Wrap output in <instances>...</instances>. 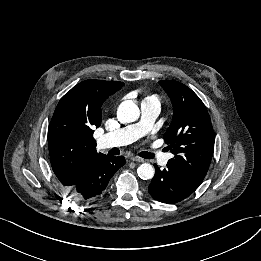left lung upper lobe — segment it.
I'll use <instances>...</instances> for the list:
<instances>
[{"label":"left lung upper lobe","instance_id":"obj_1","mask_svg":"<svg viewBox=\"0 0 261 261\" xmlns=\"http://www.w3.org/2000/svg\"><path fill=\"white\" fill-rule=\"evenodd\" d=\"M173 104V119L163 138L174 158L173 167L192 187L203 181L213 155L214 132L207 109L201 99L184 84L161 80Z\"/></svg>","mask_w":261,"mask_h":261}]
</instances>
